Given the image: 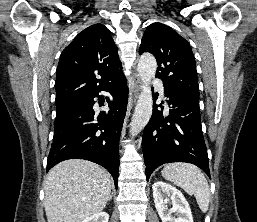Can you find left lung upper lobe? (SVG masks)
Listing matches in <instances>:
<instances>
[{"instance_id": "5c2ea615", "label": "left lung upper lobe", "mask_w": 257, "mask_h": 222, "mask_svg": "<svg viewBox=\"0 0 257 222\" xmlns=\"http://www.w3.org/2000/svg\"><path fill=\"white\" fill-rule=\"evenodd\" d=\"M152 53L158 63L156 77L165 87L199 99L195 57L189 43L162 23L150 24L141 41L139 53Z\"/></svg>"}]
</instances>
